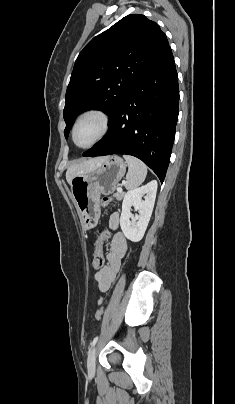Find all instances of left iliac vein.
<instances>
[{
    "mask_svg": "<svg viewBox=\"0 0 235 404\" xmlns=\"http://www.w3.org/2000/svg\"><path fill=\"white\" fill-rule=\"evenodd\" d=\"M95 358H96V348H93L88 355L87 367L90 373L95 372Z\"/></svg>",
    "mask_w": 235,
    "mask_h": 404,
    "instance_id": "obj_1",
    "label": "left iliac vein"
}]
</instances>
